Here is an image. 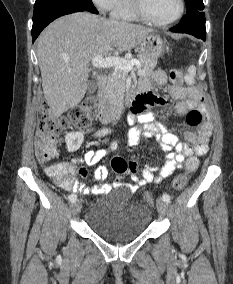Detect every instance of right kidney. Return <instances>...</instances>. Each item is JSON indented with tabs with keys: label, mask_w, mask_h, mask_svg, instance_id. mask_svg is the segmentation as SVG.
I'll list each match as a JSON object with an SVG mask.
<instances>
[{
	"label": "right kidney",
	"mask_w": 233,
	"mask_h": 284,
	"mask_svg": "<svg viewBox=\"0 0 233 284\" xmlns=\"http://www.w3.org/2000/svg\"><path fill=\"white\" fill-rule=\"evenodd\" d=\"M84 140V135L81 132H71L65 137V142L69 152H74L80 148Z\"/></svg>",
	"instance_id": "ca27d5eb"
}]
</instances>
